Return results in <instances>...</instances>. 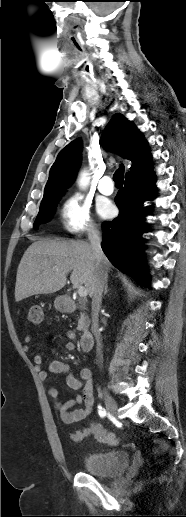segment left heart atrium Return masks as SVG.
Masks as SVG:
<instances>
[{
    "mask_svg": "<svg viewBox=\"0 0 186 517\" xmlns=\"http://www.w3.org/2000/svg\"><path fill=\"white\" fill-rule=\"evenodd\" d=\"M115 212L114 206L111 202L104 200L98 204V213L103 218H110Z\"/></svg>",
    "mask_w": 186,
    "mask_h": 517,
    "instance_id": "39dd6f15",
    "label": "left heart atrium"
}]
</instances>
